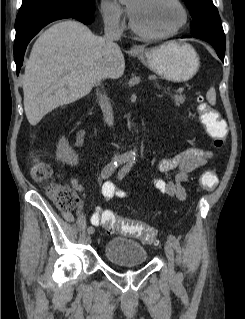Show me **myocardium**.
<instances>
[{
	"label": "myocardium",
	"instance_id": "1",
	"mask_svg": "<svg viewBox=\"0 0 245 319\" xmlns=\"http://www.w3.org/2000/svg\"><path fill=\"white\" fill-rule=\"evenodd\" d=\"M172 1L178 6V8L181 11V15H182L181 21L177 27H175L174 29H172L170 31L163 32V33H149V32H146L144 30H141L134 23L132 17H130L129 25H130V28L132 29V31L135 34H137L138 36H140L144 39H147V40H162V39H167V38H170V37L177 35L187 25L188 20H189V15H188L187 8L185 7V5L183 4V2L181 0H172Z\"/></svg>",
	"mask_w": 245,
	"mask_h": 319
}]
</instances>
